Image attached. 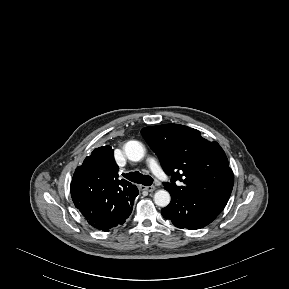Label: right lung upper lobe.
I'll list each match as a JSON object with an SVG mask.
<instances>
[{
    "label": "right lung upper lobe",
    "mask_w": 289,
    "mask_h": 289,
    "mask_svg": "<svg viewBox=\"0 0 289 289\" xmlns=\"http://www.w3.org/2000/svg\"><path fill=\"white\" fill-rule=\"evenodd\" d=\"M111 146L94 149L83 164L77 167L73 179H76V207L88 211L112 208L115 204L132 197L135 185L118 179V165L113 158ZM72 179V180H73ZM74 202V200H73Z\"/></svg>",
    "instance_id": "1"
}]
</instances>
